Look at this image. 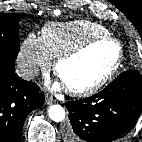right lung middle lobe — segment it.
<instances>
[{
    "label": "right lung middle lobe",
    "mask_w": 142,
    "mask_h": 142,
    "mask_svg": "<svg viewBox=\"0 0 142 142\" xmlns=\"http://www.w3.org/2000/svg\"><path fill=\"white\" fill-rule=\"evenodd\" d=\"M17 14L0 13V62L14 67L19 52V24Z\"/></svg>",
    "instance_id": "dd1d6c3e"
}]
</instances>
